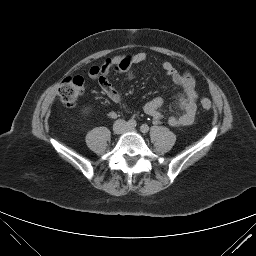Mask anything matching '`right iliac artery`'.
<instances>
[{
  "label": "right iliac artery",
  "mask_w": 256,
  "mask_h": 256,
  "mask_svg": "<svg viewBox=\"0 0 256 256\" xmlns=\"http://www.w3.org/2000/svg\"><path fill=\"white\" fill-rule=\"evenodd\" d=\"M127 125L129 127H136L137 123L134 119H130L128 122H127Z\"/></svg>",
  "instance_id": "right-iliac-artery-1"
}]
</instances>
